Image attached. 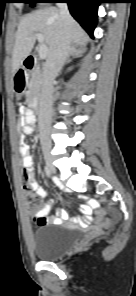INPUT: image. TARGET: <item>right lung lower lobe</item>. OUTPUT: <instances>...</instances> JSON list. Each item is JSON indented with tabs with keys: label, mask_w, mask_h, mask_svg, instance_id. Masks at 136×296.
I'll list each match as a JSON object with an SVG mask.
<instances>
[{
	"label": "right lung lower lobe",
	"mask_w": 136,
	"mask_h": 296,
	"mask_svg": "<svg viewBox=\"0 0 136 296\" xmlns=\"http://www.w3.org/2000/svg\"><path fill=\"white\" fill-rule=\"evenodd\" d=\"M65 2L71 15L80 23L86 32L93 37L97 23V9L101 0H48L49 3Z\"/></svg>",
	"instance_id": "1"
}]
</instances>
